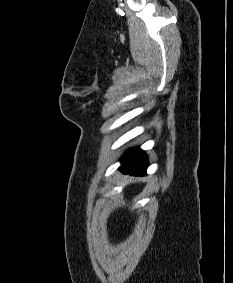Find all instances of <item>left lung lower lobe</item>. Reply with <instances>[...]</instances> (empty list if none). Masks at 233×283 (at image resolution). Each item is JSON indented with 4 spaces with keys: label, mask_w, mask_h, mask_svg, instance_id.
Instances as JSON below:
<instances>
[{
    "label": "left lung lower lobe",
    "mask_w": 233,
    "mask_h": 283,
    "mask_svg": "<svg viewBox=\"0 0 233 283\" xmlns=\"http://www.w3.org/2000/svg\"><path fill=\"white\" fill-rule=\"evenodd\" d=\"M147 156L138 148L125 153L121 161V171L131 175H145Z\"/></svg>",
    "instance_id": "0a47b994"
}]
</instances>
